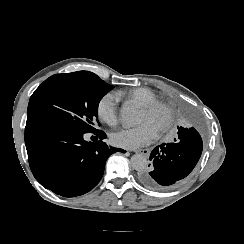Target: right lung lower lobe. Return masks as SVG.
<instances>
[{"label":"right lung lower lobe","mask_w":244,"mask_h":244,"mask_svg":"<svg viewBox=\"0 0 244 244\" xmlns=\"http://www.w3.org/2000/svg\"><path fill=\"white\" fill-rule=\"evenodd\" d=\"M94 133L97 142L84 140L83 132L42 122L26 123L25 144L31 171L46 189L64 197L82 195L101 180L110 154L124 150L101 141L106 134Z\"/></svg>","instance_id":"98d812e1"}]
</instances>
